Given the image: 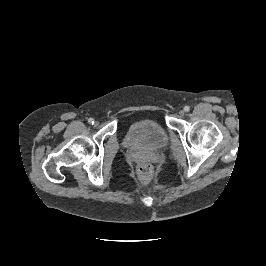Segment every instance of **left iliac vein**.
<instances>
[{
    "label": "left iliac vein",
    "mask_w": 266,
    "mask_h": 266,
    "mask_svg": "<svg viewBox=\"0 0 266 266\" xmlns=\"http://www.w3.org/2000/svg\"><path fill=\"white\" fill-rule=\"evenodd\" d=\"M184 114H185V113H184V111H183V110H180V111H179V115H180L181 117H183V116H184Z\"/></svg>",
    "instance_id": "obj_1"
}]
</instances>
